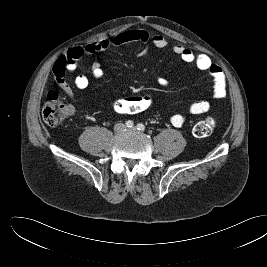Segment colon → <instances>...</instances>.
Segmentation results:
<instances>
[{
	"instance_id": "obj_1",
	"label": "colon",
	"mask_w": 267,
	"mask_h": 267,
	"mask_svg": "<svg viewBox=\"0 0 267 267\" xmlns=\"http://www.w3.org/2000/svg\"><path fill=\"white\" fill-rule=\"evenodd\" d=\"M151 105L152 98L149 95L129 96L117 99L114 102V109L123 114H137L148 110ZM69 113V107L61 101L59 95L56 92H50L42 111L44 121L50 126H57ZM214 127V119L206 118L194 125L193 134L199 138L207 137L213 132Z\"/></svg>"
}]
</instances>
